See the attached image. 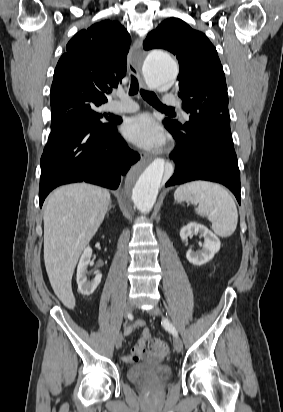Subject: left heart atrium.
Wrapping results in <instances>:
<instances>
[{"mask_svg": "<svg viewBox=\"0 0 283 412\" xmlns=\"http://www.w3.org/2000/svg\"><path fill=\"white\" fill-rule=\"evenodd\" d=\"M124 136L143 149H155L165 143V132L150 114H139L126 120L122 128Z\"/></svg>", "mask_w": 283, "mask_h": 412, "instance_id": "left-heart-atrium-1", "label": "left heart atrium"}]
</instances>
